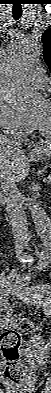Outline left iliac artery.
Instances as JSON below:
<instances>
[{
	"instance_id": "obj_1",
	"label": "left iliac artery",
	"mask_w": 51,
	"mask_h": 393,
	"mask_svg": "<svg viewBox=\"0 0 51 393\" xmlns=\"http://www.w3.org/2000/svg\"><path fill=\"white\" fill-rule=\"evenodd\" d=\"M34 288H37V289L41 290L43 292V294H46V296H47L46 300L49 303H51V287L49 285L42 284V285L34 286ZM50 313H51V311H50Z\"/></svg>"
}]
</instances>
